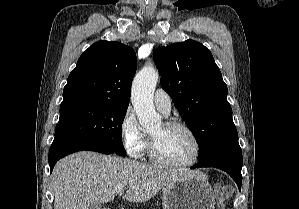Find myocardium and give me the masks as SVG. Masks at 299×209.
<instances>
[{"instance_id": "obj_1", "label": "myocardium", "mask_w": 299, "mask_h": 209, "mask_svg": "<svg viewBox=\"0 0 299 209\" xmlns=\"http://www.w3.org/2000/svg\"><path fill=\"white\" fill-rule=\"evenodd\" d=\"M163 124L168 129H182L186 133H188L194 142L195 152H194L193 157L188 162H185V163L168 162L159 155L157 148H156V144H155L153 138L150 136L148 153H149L151 161L158 166H161L164 168H171V169H186V168H190V167L194 166L199 161L201 152H202L201 142H200L197 134L195 133V131L191 127H189L187 124L180 122V121L167 120Z\"/></svg>"}]
</instances>
